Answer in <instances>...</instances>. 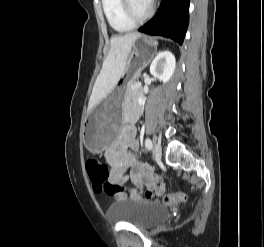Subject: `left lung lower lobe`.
<instances>
[{"label": "left lung lower lobe", "mask_w": 264, "mask_h": 247, "mask_svg": "<svg viewBox=\"0 0 264 247\" xmlns=\"http://www.w3.org/2000/svg\"><path fill=\"white\" fill-rule=\"evenodd\" d=\"M189 3V0H163L155 16L139 31L170 38L181 45L189 24Z\"/></svg>", "instance_id": "0a47b994"}]
</instances>
